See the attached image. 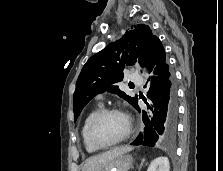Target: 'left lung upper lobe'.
<instances>
[{
  "label": "left lung upper lobe",
  "instance_id": "5c2ea615",
  "mask_svg": "<svg viewBox=\"0 0 223 171\" xmlns=\"http://www.w3.org/2000/svg\"><path fill=\"white\" fill-rule=\"evenodd\" d=\"M158 41L160 40L153 35L148 25L138 24L126 31L121 39L92 56L77 79L73 95L75 121L83 107L96 94L107 89L135 107L138 102L137 97L126 95L113 84L122 81L125 64L131 65L138 61L143 67L146 66L150 53Z\"/></svg>",
  "mask_w": 223,
  "mask_h": 171
}]
</instances>
